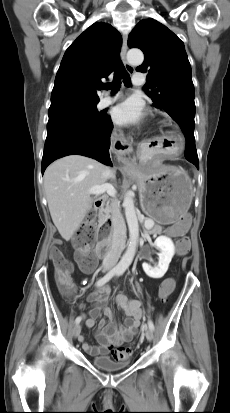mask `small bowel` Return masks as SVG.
Segmentation results:
<instances>
[{
	"label": "small bowel",
	"instance_id": "obj_1",
	"mask_svg": "<svg viewBox=\"0 0 230 413\" xmlns=\"http://www.w3.org/2000/svg\"><path fill=\"white\" fill-rule=\"evenodd\" d=\"M167 233L170 236H177L182 232L173 225L167 230ZM91 270L84 271L90 272ZM110 293V288L102 285L88 296V301L92 306L88 312V317L84 316L85 325L89 328L93 327L101 312L109 319L107 325L104 320L98 322V329L95 335L98 344L90 345L85 342L82 335L79 336V341L82 343L83 350L92 357L110 354L117 360H125L130 354L123 351V349L127 348L124 347V344L132 340L143 318L141 302L131 300L124 294L117 295L115 302L126 314L124 324H117L114 321L113 310L108 307Z\"/></svg>",
	"mask_w": 230,
	"mask_h": 413
}]
</instances>
